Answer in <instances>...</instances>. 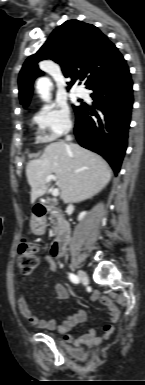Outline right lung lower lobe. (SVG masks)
Returning <instances> with one entry per match:
<instances>
[{
    "label": "right lung lower lobe",
    "mask_w": 145,
    "mask_h": 385,
    "mask_svg": "<svg viewBox=\"0 0 145 385\" xmlns=\"http://www.w3.org/2000/svg\"><path fill=\"white\" fill-rule=\"evenodd\" d=\"M132 79L126 65L115 74L95 83L93 107L82 103L76 111L74 133L78 143L102 155L118 173L127 148L133 104ZM95 115L97 119H92Z\"/></svg>",
    "instance_id": "right-lung-lower-lobe-1"
}]
</instances>
